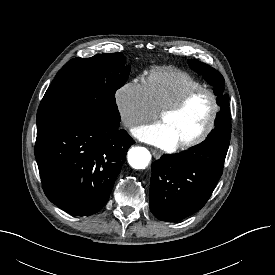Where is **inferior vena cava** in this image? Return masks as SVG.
<instances>
[{"mask_svg": "<svg viewBox=\"0 0 275 275\" xmlns=\"http://www.w3.org/2000/svg\"><path fill=\"white\" fill-rule=\"evenodd\" d=\"M137 124V121L133 120V119H125L124 120V125L127 127L133 126Z\"/></svg>", "mask_w": 275, "mask_h": 275, "instance_id": "602c4592", "label": "inferior vena cava"}]
</instances>
